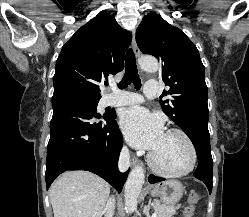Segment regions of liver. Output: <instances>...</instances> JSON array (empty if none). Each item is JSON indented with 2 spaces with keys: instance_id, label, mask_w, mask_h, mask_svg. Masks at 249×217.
Wrapping results in <instances>:
<instances>
[{
  "instance_id": "6515ba94",
  "label": "liver",
  "mask_w": 249,
  "mask_h": 217,
  "mask_svg": "<svg viewBox=\"0 0 249 217\" xmlns=\"http://www.w3.org/2000/svg\"><path fill=\"white\" fill-rule=\"evenodd\" d=\"M109 184L88 171H69L50 187L54 217H102Z\"/></svg>"
}]
</instances>
